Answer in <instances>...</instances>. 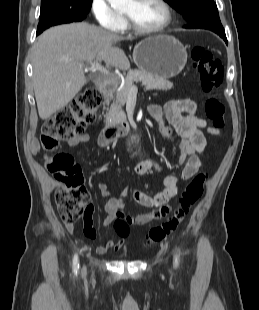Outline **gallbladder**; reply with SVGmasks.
<instances>
[{
    "label": "gallbladder",
    "instance_id": "bac80fb5",
    "mask_svg": "<svg viewBox=\"0 0 259 310\" xmlns=\"http://www.w3.org/2000/svg\"><path fill=\"white\" fill-rule=\"evenodd\" d=\"M89 79H90L91 81H94V80H95L94 76H90Z\"/></svg>",
    "mask_w": 259,
    "mask_h": 310
}]
</instances>
